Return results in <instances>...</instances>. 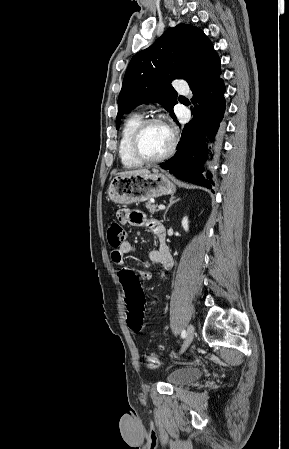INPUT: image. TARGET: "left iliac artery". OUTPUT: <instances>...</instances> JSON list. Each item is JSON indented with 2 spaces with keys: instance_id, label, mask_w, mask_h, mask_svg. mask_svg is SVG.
<instances>
[{
  "instance_id": "1",
  "label": "left iliac artery",
  "mask_w": 289,
  "mask_h": 449,
  "mask_svg": "<svg viewBox=\"0 0 289 449\" xmlns=\"http://www.w3.org/2000/svg\"><path fill=\"white\" fill-rule=\"evenodd\" d=\"M181 337H182V338H185V337H186V331H185V330H182V332H181Z\"/></svg>"
}]
</instances>
